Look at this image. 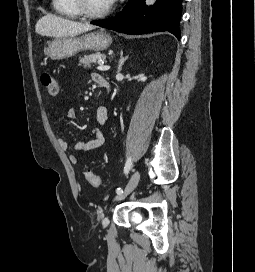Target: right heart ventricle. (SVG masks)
Instances as JSON below:
<instances>
[{
	"label": "right heart ventricle",
	"mask_w": 255,
	"mask_h": 272,
	"mask_svg": "<svg viewBox=\"0 0 255 272\" xmlns=\"http://www.w3.org/2000/svg\"><path fill=\"white\" fill-rule=\"evenodd\" d=\"M52 9L59 15L69 18H78L81 16L74 0H52Z\"/></svg>",
	"instance_id": "e07e8e85"
}]
</instances>
